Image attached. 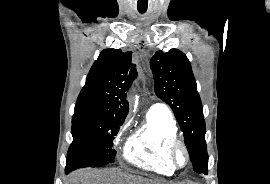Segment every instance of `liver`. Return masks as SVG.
I'll return each mask as SVG.
<instances>
[{
    "mask_svg": "<svg viewBox=\"0 0 270 184\" xmlns=\"http://www.w3.org/2000/svg\"><path fill=\"white\" fill-rule=\"evenodd\" d=\"M70 178L71 184H165L163 181L125 174L116 169H82L73 172Z\"/></svg>",
    "mask_w": 270,
    "mask_h": 184,
    "instance_id": "liver-1",
    "label": "liver"
}]
</instances>
